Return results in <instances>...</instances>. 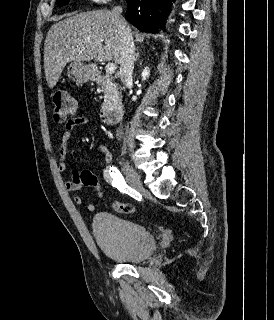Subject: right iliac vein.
Returning a JSON list of instances; mask_svg holds the SVG:
<instances>
[{"label":"right iliac vein","instance_id":"obj_1","mask_svg":"<svg viewBox=\"0 0 274 320\" xmlns=\"http://www.w3.org/2000/svg\"><path fill=\"white\" fill-rule=\"evenodd\" d=\"M122 171L130 186L141 193L145 192L138 173L128 163H123Z\"/></svg>","mask_w":274,"mask_h":320}]
</instances>
